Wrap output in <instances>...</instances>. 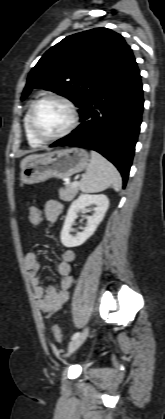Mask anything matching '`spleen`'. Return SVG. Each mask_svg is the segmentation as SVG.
<instances>
[{
    "label": "spleen",
    "mask_w": 165,
    "mask_h": 419,
    "mask_svg": "<svg viewBox=\"0 0 165 419\" xmlns=\"http://www.w3.org/2000/svg\"><path fill=\"white\" fill-rule=\"evenodd\" d=\"M79 187L85 193L101 192L109 187L118 192L122 188V179L113 164L99 153L91 151V161Z\"/></svg>",
    "instance_id": "spleen-1"
}]
</instances>
